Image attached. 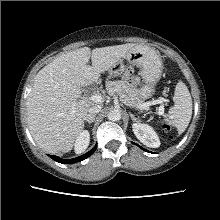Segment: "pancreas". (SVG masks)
I'll return each mask as SVG.
<instances>
[{"instance_id": "1", "label": "pancreas", "mask_w": 220, "mask_h": 220, "mask_svg": "<svg viewBox=\"0 0 220 220\" xmlns=\"http://www.w3.org/2000/svg\"><path fill=\"white\" fill-rule=\"evenodd\" d=\"M106 89L110 96L117 94L120 101L129 107L142 105L138 90L125 80L107 81Z\"/></svg>"}]
</instances>
